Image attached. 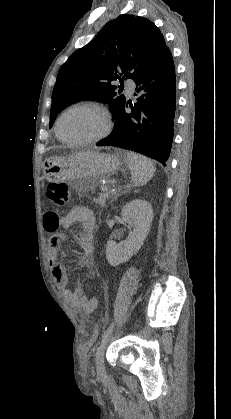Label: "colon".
<instances>
[{"label": "colon", "mask_w": 231, "mask_h": 419, "mask_svg": "<svg viewBox=\"0 0 231 419\" xmlns=\"http://www.w3.org/2000/svg\"><path fill=\"white\" fill-rule=\"evenodd\" d=\"M48 197L60 207H64L68 204L70 198V190L66 183H52L47 186ZM97 332L95 331L93 338H95ZM88 343H85L86 347Z\"/></svg>", "instance_id": "obj_1"}]
</instances>
